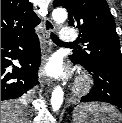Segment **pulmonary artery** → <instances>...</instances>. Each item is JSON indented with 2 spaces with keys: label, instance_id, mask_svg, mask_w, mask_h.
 <instances>
[{
  "label": "pulmonary artery",
  "instance_id": "obj_1",
  "mask_svg": "<svg viewBox=\"0 0 122 123\" xmlns=\"http://www.w3.org/2000/svg\"><path fill=\"white\" fill-rule=\"evenodd\" d=\"M60 39L65 43H72L76 40V33L69 27H64L60 32Z\"/></svg>",
  "mask_w": 122,
  "mask_h": 123
}]
</instances>
